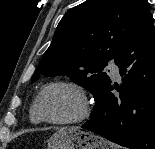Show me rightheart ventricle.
<instances>
[{
    "instance_id": "right-heart-ventricle-1",
    "label": "right heart ventricle",
    "mask_w": 155,
    "mask_h": 149,
    "mask_svg": "<svg viewBox=\"0 0 155 149\" xmlns=\"http://www.w3.org/2000/svg\"><path fill=\"white\" fill-rule=\"evenodd\" d=\"M30 121L34 124H40L42 122L34 111L33 105L30 109Z\"/></svg>"
}]
</instances>
